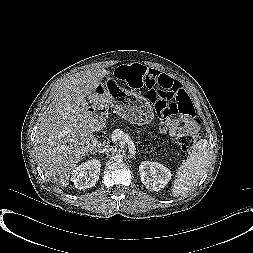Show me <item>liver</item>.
I'll return each instance as SVG.
<instances>
[{"label": "liver", "mask_w": 253, "mask_h": 253, "mask_svg": "<svg viewBox=\"0 0 253 253\" xmlns=\"http://www.w3.org/2000/svg\"><path fill=\"white\" fill-rule=\"evenodd\" d=\"M107 74L105 69L76 73L60 84L42 115L35 138L36 156L45 175L62 187L68 185L71 172L91 150L94 129L86 97Z\"/></svg>", "instance_id": "6515ba94"}]
</instances>
